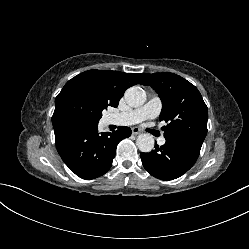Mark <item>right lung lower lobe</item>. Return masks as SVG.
<instances>
[{"label": "right lung lower lobe", "mask_w": 249, "mask_h": 249, "mask_svg": "<svg viewBox=\"0 0 249 249\" xmlns=\"http://www.w3.org/2000/svg\"><path fill=\"white\" fill-rule=\"evenodd\" d=\"M55 143L69 169L83 179H94L111 167L118 143L131 135L129 127L99 133L98 123L88 124L71 117H52Z\"/></svg>", "instance_id": "right-lung-lower-lobe-1"}]
</instances>
